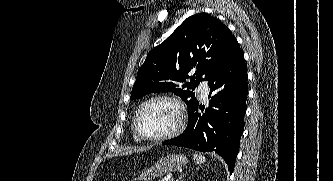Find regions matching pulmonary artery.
I'll use <instances>...</instances> for the list:
<instances>
[{"instance_id":"e3ab8cb5","label":"pulmonary artery","mask_w":333,"mask_h":181,"mask_svg":"<svg viewBox=\"0 0 333 181\" xmlns=\"http://www.w3.org/2000/svg\"><path fill=\"white\" fill-rule=\"evenodd\" d=\"M208 91H209V86H208L207 82L200 83V85L198 87V92L201 94V97L203 99H207Z\"/></svg>"}]
</instances>
